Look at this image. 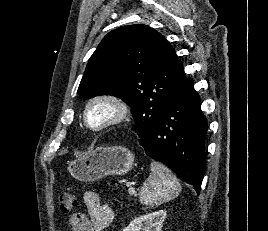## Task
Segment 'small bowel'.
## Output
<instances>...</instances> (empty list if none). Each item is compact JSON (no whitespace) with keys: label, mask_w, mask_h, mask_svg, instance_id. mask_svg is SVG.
I'll list each match as a JSON object with an SVG mask.
<instances>
[{"label":"small bowel","mask_w":268,"mask_h":231,"mask_svg":"<svg viewBox=\"0 0 268 231\" xmlns=\"http://www.w3.org/2000/svg\"><path fill=\"white\" fill-rule=\"evenodd\" d=\"M86 213H75L69 219L70 231H104L112 222L114 212L112 207L101 201L93 191L83 194Z\"/></svg>","instance_id":"c3829d8e"}]
</instances>
